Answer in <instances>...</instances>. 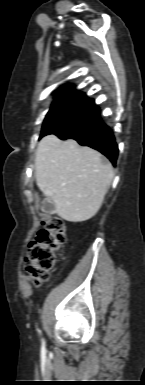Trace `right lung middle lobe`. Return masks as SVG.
<instances>
[{"mask_svg": "<svg viewBox=\"0 0 145 385\" xmlns=\"http://www.w3.org/2000/svg\"><path fill=\"white\" fill-rule=\"evenodd\" d=\"M93 106L94 100L81 92L57 96L46 115L40 138L67 128Z\"/></svg>", "mask_w": 145, "mask_h": 385, "instance_id": "right-lung-middle-lobe-1", "label": "right lung middle lobe"}]
</instances>
